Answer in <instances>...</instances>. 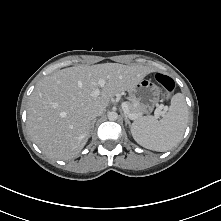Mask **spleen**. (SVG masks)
<instances>
[{
	"mask_svg": "<svg viewBox=\"0 0 221 221\" xmlns=\"http://www.w3.org/2000/svg\"><path fill=\"white\" fill-rule=\"evenodd\" d=\"M188 106L181 93L175 94L166 115L158 120L144 116L134 121L131 133L141 146L154 151H167L177 145L183 137L188 121Z\"/></svg>",
	"mask_w": 221,
	"mask_h": 221,
	"instance_id": "3e777b00",
	"label": "spleen"
}]
</instances>
